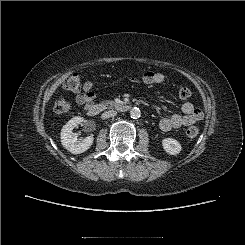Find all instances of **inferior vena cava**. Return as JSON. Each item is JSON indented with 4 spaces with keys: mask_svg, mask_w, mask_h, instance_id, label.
Returning <instances> with one entry per match:
<instances>
[{
    "mask_svg": "<svg viewBox=\"0 0 245 245\" xmlns=\"http://www.w3.org/2000/svg\"><path fill=\"white\" fill-rule=\"evenodd\" d=\"M117 114V112L115 110H109V111H105L102 115L101 118L102 119H107L110 117H114Z\"/></svg>",
    "mask_w": 245,
    "mask_h": 245,
    "instance_id": "inferior-vena-cava-1",
    "label": "inferior vena cava"
}]
</instances>
